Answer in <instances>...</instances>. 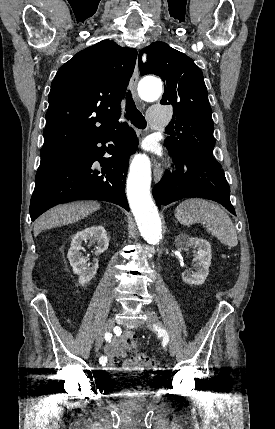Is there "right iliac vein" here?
<instances>
[{
  "label": "right iliac vein",
  "mask_w": 275,
  "mask_h": 429,
  "mask_svg": "<svg viewBox=\"0 0 275 429\" xmlns=\"http://www.w3.org/2000/svg\"><path fill=\"white\" fill-rule=\"evenodd\" d=\"M115 321L114 319L110 318L106 321L102 332L98 335L96 343H95V350L96 352L101 348L103 341H104V334L107 332H111L114 328Z\"/></svg>",
  "instance_id": "obj_1"
}]
</instances>
